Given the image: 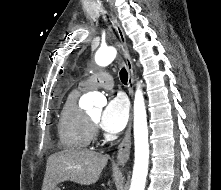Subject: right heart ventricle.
I'll return each mask as SVG.
<instances>
[{"label": "right heart ventricle", "mask_w": 221, "mask_h": 190, "mask_svg": "<svg viewBox=\"0 0 221 190\" xmlns=\"http://www.w3.org/2000/svg\"><path fill=\"white\" fill-rule=\"evenodd\" d=\"M83 90L81 86L71 90L61 108L58 134L61 144L66 149H84L88 147L92 139L89 118L77 103Z\"/></svg>", "instance_id": "obj_1"}]
</instances>
